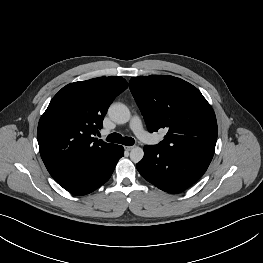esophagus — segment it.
Wrapping results in <instances>:
<instances>
[{
	"label": "esophagus",
	"instance_id": "1",
	"mask_svg": "<svg viewBox=\"0 0 263 263\" xmlns=\"http://www.w3.org/2000/svg\"><path fill=\"white\" fill-rule=\"evenodd\" d=\"M124 148L126 151H131L133 149V146H125Z\"/></svg>",
	"mask_w": 263,
	"mask_h": 263
}]
</instances>
